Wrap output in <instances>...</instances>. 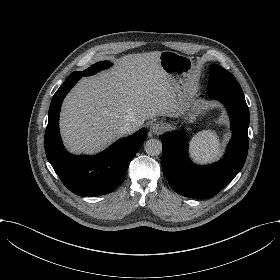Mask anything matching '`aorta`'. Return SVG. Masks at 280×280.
<instances>
[{
    "mask_svg": "<svg viewBox=\"0 0 280 280\" xmlns=\"http://www.w3.org/2000/svg\"><path fill=\"white\" fill-rule=\"evenodd\" d=\"M145 151L150 156H157L162 152V143L158 139H149L145 143Z\"/></svg>",
    "mask_w": 280,
    "mask_h": 280,
    "instance_id": "obj_1",
    "label": "aorta"
}]
</instances>
